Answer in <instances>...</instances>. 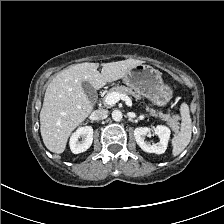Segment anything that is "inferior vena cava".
I'll use <instances>...</instances> for the list:
<instances>
[{
  "label": "inferior vena cava",
  "mask_w": 224,
  "mask_h": 224,
  "mask_svg": "<svg viewBox=\"0 0 224 224\" xmlns=\"http://www.w3.org/2000/svg\"><path fill=\"white\" fill-rule=\"evenodd\" d=\"M108 115V110L106 109H98L93 112V118L95 120H101L105 118Z\"/></svg>",
  "instance_id": "602c4592"
}]
</instances>
